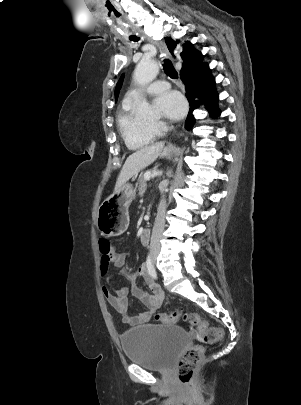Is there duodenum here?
<instances>
[{
	"mask_svg": "<svg viewBox=\"0 0 301 405\" xmlns=\"http://www.w3.org/2000/svg\"><path fill=\"white\" fill-rule=\"evenodd\" d=\"M140 240L143 245H148L150 241V231L148 229H143L140 235Z\"/></svg>",
	"mask_w": 301,
	"mask_h": 405,
	"instance_id": "1",
	"label": "duodenum"
}]
</instances>
